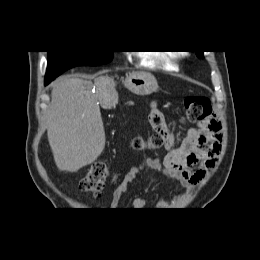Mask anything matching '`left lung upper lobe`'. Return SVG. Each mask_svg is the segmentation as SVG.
Wrapping results in <instances>:
<instances>
[{"label":"left lung upper lobe","instance_id":"obj_1","mask_svg":"<svg viewBox=\"0 0 260 260\" xmlns=\"http://www.w3.org/2000/svg\"><path fill=\"white\" fill-rule=\"evenodd\" d=\"M199 57H203V51H197Z\"/></svg>","mask_w":260,"mask_h":260}]
</instances>
